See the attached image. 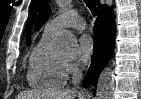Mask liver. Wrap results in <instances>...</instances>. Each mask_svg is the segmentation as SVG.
<instances>
[{"label":"liver","instance_id":"6515ba94","mask_svg":"<svg viewBox=\"0 0 141 99\" xmlns=\"http://www.w3.org/2000/svg\"><path fill=\"white\" fill-rule=\"evenodd\" d=\"M77 92L74 90L56 91V92H21L17 99H75Z\"/></svg>","mask_w":141,"mask_h":99}]
</instances>
